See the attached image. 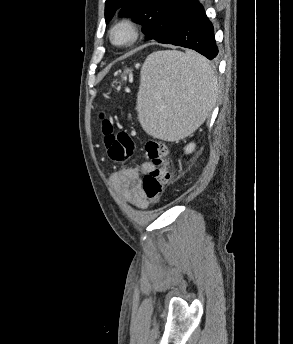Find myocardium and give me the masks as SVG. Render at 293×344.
<instances>
[{"mask_svg": "<svg viewBox=\"0 0 293 344\" xmlns=\"http://www.w3.org/2000/svg\"><path fill=\"white\" fill-rule=\"evenodd\" d=\"M124 32L126 38L122 41L117 39V34ZM110 40L111 43L116 47H127L132 45L139 36L138 28L135 22L130 18H123L117 21L110 29Z\"/></svg>", "mask_w": 293, "mask_h": 344, "instance_id": "f54148a6", "label": "myocardium"}]
</instances>
